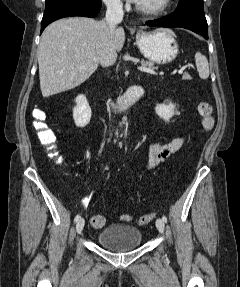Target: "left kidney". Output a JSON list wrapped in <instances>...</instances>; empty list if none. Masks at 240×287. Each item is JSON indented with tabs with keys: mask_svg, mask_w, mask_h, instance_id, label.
<instances>
[{
	"mask_svg": "<svg viewBox=\"0 0 240 287\" xmlns=\"http://www.w3.org/2000/svg\"><path fill=\"white\" fill-rule=\"evenodd\" d=\"M156 114L164 121L169 122L177 111L175 110V104L165 100L162 104H157L155 107Z\"/></svg>",
	"mask_w": 240,
	"mask_h": 287,
	"instance_id": "left-kidney-1",
	"label": "left kidney"
}]
</instances>
